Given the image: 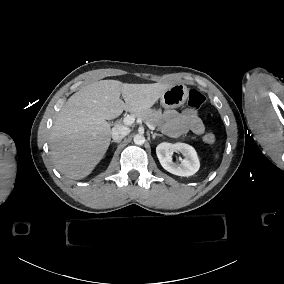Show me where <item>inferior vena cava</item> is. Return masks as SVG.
Instances as JSON below:
<instances>
[{"label": "inferior vena cava", "instance_id": "1", "mask_svg": "<svg viewBox=\"0 0 284 284\" xmlns=\"http://www.w3.org/2000/svg\"><path fill=\"white\" fill-rule=\"evenodd\" d=\"M130 133V129L121 125H116L112 129V139L120 141Z\"/></svg>", "mask_w": 284, "mask_h": 284}]
</instances>
